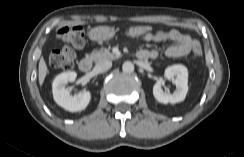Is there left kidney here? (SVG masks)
<instances>
[{
    "label": "left kidney",
    "mask_w": 244,
    "mask_h": 157,
    "mask_svg": "<svg viewBox=\"0 0 244 157\" xmlns=\"http://www.w3.org/2000/svg\"><path fill=\"white\" fill-rule=\"evenodd\" d=\"M164 77L166 79L175 78L176 90L173 94L165 93L162 88V78L157 80L153 86V95L155 99L163 104H175L184 101L188 92V71L183 65H172L165 69Z\"/></svg>",
    "instance_id": "left-kidney-1"
}]
</instances>
